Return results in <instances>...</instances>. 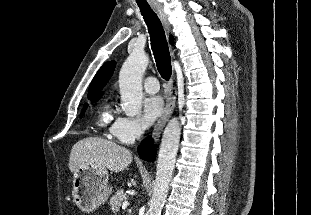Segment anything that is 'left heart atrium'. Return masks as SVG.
I'll list each match as a JSON object with an SVG mask.
<instances>
[{
    "instance_id": "left-heart-atrium-1",
    "label": "left heart atrium",
    "mask_w": 311,
    "mask_h": 215,
    "mask_svg": "<svg viewBox=\"0 0 311 215\" xmlns=\"http://www.w3.org/2000/svg\"><path fill=\"white\" fill-rule=\"evenodd\" d=\"M163 113V101L158 96H151L144 100L141 122L147 128L151 126Z\"/></svg>"
}]
</instances>
